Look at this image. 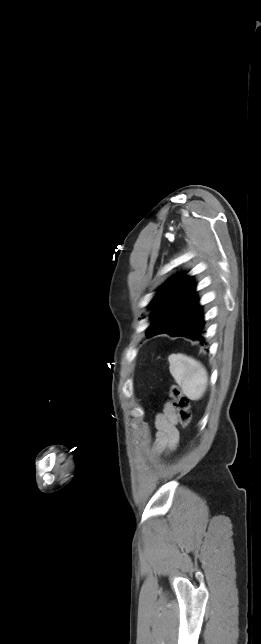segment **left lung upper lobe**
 <instances>
[{"label": "left lung upper lobe", "mask_w": 261, "mask_h": 644, "mask_svg": "<svg viewBox=\"0 0 261 644\" xmlns=\"http://www.w3.org/2000/svg\"><path fill=\"white\" fill-rule=\"evenodd\" d=\"M192 277L185 273L178 274L159 288L158 294L150 303L152 323L146 333L147 337L157 334H169L188 322L201 308L195 292Z\"/></svg>", "instance_id": "5c2ea615"}]
</instances>
